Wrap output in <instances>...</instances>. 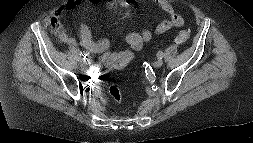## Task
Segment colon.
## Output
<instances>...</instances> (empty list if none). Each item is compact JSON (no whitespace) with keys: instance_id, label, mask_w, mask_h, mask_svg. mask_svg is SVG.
<instances>
[{"instance_id":"colon-1","label":"colon","mask_w":253,"mask_h":143,"mask_svg":"<svg viewBox=\"0 0 253 143\" xmlns=\"http://www.w3.org/2000/svg\"><path fill=\"white\" fill-rule=\"evenodd\" d=\"M52 27L56 31L61 30L60 23L58 22L57 19L52 20ZM189 36H190V34L188 31L182 30L177 33V35L175 37V42L178 44H182L189 39ZM104 63L109 64V65L123 67L128 64V61L125 59L117 60L113 57H107V58H105ZM109 94L113 98V100H115L116 102H121L123 99L120 89L115 85H111L109 87Z\"/></svg>"}]
</instances>
